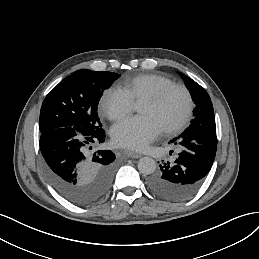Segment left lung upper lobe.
Returning <instances> with one entry per match:
<instances>
[{
    "instance_id": "5c2ea615",
    "label": "left lung upper lobe",
    "mask_w": 259,
    "mask_h": 259,
    "mask_svg": "<svg viewBox=\"0 0 259 259\" xmlns=\"http://www.w3.org/2000/svg\"><path fill=\"white\" fill-rule=\"evenodd\" d=\"M180 75L185 81L196 105L193 111L194 119L191 121L190 126H215L213 105L206 90L186 75L182 73Z\"/></svg>"
}]
</instances>
